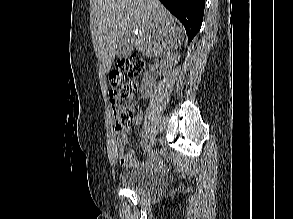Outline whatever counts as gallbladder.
<instances>
[{"label": "gallbladder", "instance_id": "gallbladder-1", "mask_svg": "<svg viewBox=\"0 0 293 219\" xmlns=\"http://www.w3.org/2000/svg\"><path fill=\"white\" fill-rule=\"evenodd\" d=\"M133 42L131 35L121 37L117 43L116 56L117 58H127L133 50Z\"/></svg>", "mask_w": 293, "mask_h": 219}]
</instances>
